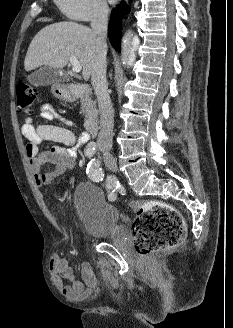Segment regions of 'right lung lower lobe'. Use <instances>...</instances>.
Masks as SVG:
<instances>
[{
    "label": "right lung lower lobe",
    "mask_w": 233,
    "mask_h": 328,
    "mask_svg": "<svg viewBox=\"0 0 233 328\" xmlns=\"http://www.w3.org/2000/svg\"><path fill=\"white\" fill-rule=\"evenodd\" d=\"M127 7L125 2H122L113 10L111 13V18L109 22L108 35L111 40L112 46L120 51V38H121V23L120 19L124 17V10Z\"/></svg>",
    "instance_id": "1"
}]
</instances>
